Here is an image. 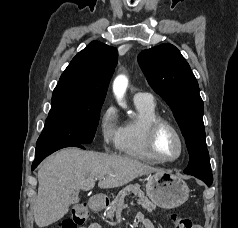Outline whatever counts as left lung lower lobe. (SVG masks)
Masks as SVG:
<instances>
[{"label": "left lung lower lobe", "instance_id": "left-lung-lower-lobe-1", "mask_svg": "<svg viewBox=\"0 0 238 228\" xmlns=\"http://www.w3.org/2000/svg\"><path fill=\"white\" fill-rule=\"evenodd\" d=\"M184 173H186V172H184ZM186 174H189V175H192V176H195V177L201 179L203 182L206 183L207 186H210L213 182V177L205 176L202 174H196V173H186Z\"/></svg>", "mask_w": 238, "mask_h": 228}]
</instances>
